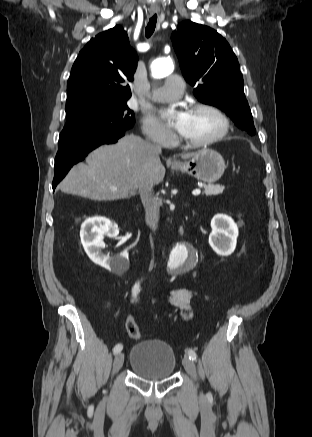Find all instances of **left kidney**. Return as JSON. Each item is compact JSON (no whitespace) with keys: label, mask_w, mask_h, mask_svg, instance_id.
Masks as SVG:
<instances>
[{"label":"left kidney","mask_w":312,"mask_h":437,"mask_svg":"<svg viewBox=\"0 0 312 437\" xmlns=\"http://www.w3.org/2000/svg\"><path fill=\"white\" fill-rule=\"evenodd\" d=\"M212 232L209 244L220 256H229L236 248L238 227L234 220L225 214H216L211 220Z\"/></svg>","instance_id":"5707ae66"}]
</instances>
